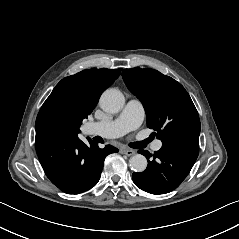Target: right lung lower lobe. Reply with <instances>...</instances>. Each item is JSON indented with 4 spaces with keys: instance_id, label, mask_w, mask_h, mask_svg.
Wrapping results in <instances>:
<instances>
[{
    "instance_id": "obj_1",
    "label": "right lung lower lobe",
    "mask_w": 239,
    "mask_h": 239,
    "mask_svg": "<svg viewBox=\"0 0 239 239\" xmlns=\"http://www.w3.org/2000/svg\"><path fill=\"white\" fill-rule=\"evenodd\" d=\"M87 146L77 136L58 131L36 133L38 158L49 180L61 191L79 194L94 187L100 179L104 159L118 150L106 145L100 149L89 140Z\"/></svg>"
}]
</instances>
